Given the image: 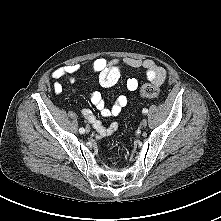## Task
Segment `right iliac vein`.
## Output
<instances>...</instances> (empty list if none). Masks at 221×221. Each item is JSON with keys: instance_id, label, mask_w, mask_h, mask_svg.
<instances>
[{"instance_id": "63e3f726", "label": "right iliac vein", "mask_w": 221, "mask_h": 221, "mask_svg": "<svg viewBox=\"0 0 221 221\" xmlns=\"http://www.w3.org/2000/svg\"><path fill=\"white\" fill-rule=\"evenodd\" d=\"M89 131H90V127L87 126V127H86V132H89Z\"/></svg>"}]
</instances>
